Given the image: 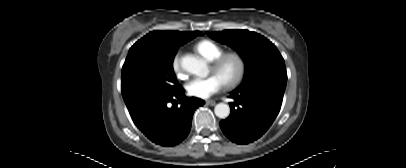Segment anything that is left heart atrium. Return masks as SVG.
<instances>
[{
  "mask_svg": "<svg viewBox=\"0 0 406 168\" xmlns=\"http://www.w3.org/2000/svg\"><path fill=\"white\" fill-rule=\"evenodd\" d=\"M224 86V82L216 74L207 78H194L186 85L189 95L206 99L219 92Z\"/></svg>",
  "mask_w": 406,
  "mask_h": 168,
  "instance_id": "39dd6f15",
  "label": "left heart atrium"
}]
</instances>
